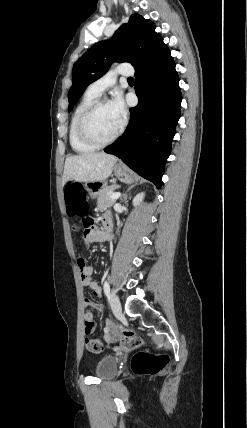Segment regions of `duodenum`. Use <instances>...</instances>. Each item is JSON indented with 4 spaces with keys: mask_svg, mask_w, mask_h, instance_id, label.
I'll return each instance as SVG.
<instances>
[{
    "mask_svg": "<svg viewBox=\"0 0 247 428\" xmlns=\"http://www.w3.org/2000/svg\"><path fill=\"white\" fill-rule=\"evenodd\" d=\"M110 226H111V221H110V219H106V220L103 222L102 231H103L104 233H108V232H109V229H110Z\"/></svg>",
    "mask_w": 247,
    "mask_h": 428,
    "instance_id": "410a0bca",
    "label": "duodenum"
}]
</instances>
